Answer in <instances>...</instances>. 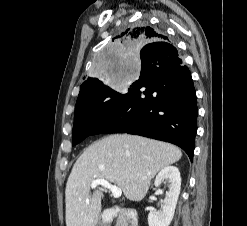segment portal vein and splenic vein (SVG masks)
I'll return each instance as SVG.
<instances>
[{"instance_id":"1","label":"portal vein and splenic vein","mask_w":247,"mask_h":226,"mask_svg":"<svg viewBox=\"0 0 247 226\" xmlns=\"http://www.w3.org/2000/svg\"><path fill=\"white\" fill-rule=\"evenodd\" d=\"M98 185H101V186L107 188L108 190H110L112 192V195L114 198H119L122 195V190L119 187L112 185L109 181H107L105 179L94 180L91 184V188L94 189Z\"/></svg>"}]
</instances>
